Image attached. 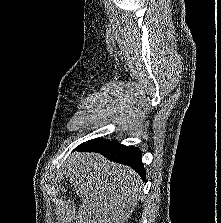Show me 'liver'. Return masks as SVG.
Masks as SVG:
<instances>
[{
  "label": "liver",
  "instance_id": "6515ba94",
  "mask_svg": "<svg viewBox=\"0 0 221 223\" xmlns=\"http://www.w3.org/2000/svg\"><path fill=\"white\" fill-rule=\"evenodd\" d=\"M69 181L82 200L76 223H125L141 198L142 181L128 166L97 153H74L67 161ZM63 216V223H68Z\"/></svg>",
  "mask_w": 221,
  "mask_h": 223
}]
</instances>
